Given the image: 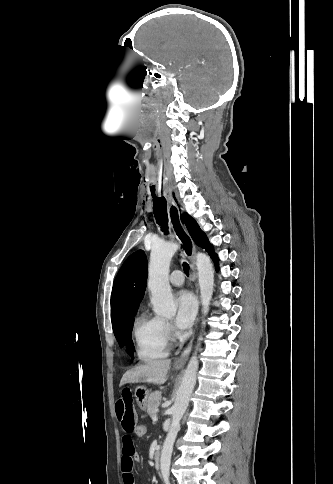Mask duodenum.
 Segmentation results:
<instances>
[{"instance_id":"410a0bca","label":"duodenum","mask_w":333,"mask_h":484,"mask_svg":"<svg viewBox=\"0 0 333 484\" xmlns=\"http://www.w3.org/2000/svg\"><path fill=\"white\" fill-rule=\"evenodd\" d=\"M153 463L156 469L160 468L161 465V450L157 448L153 455Z\"/></svg>"}]
</instances>
